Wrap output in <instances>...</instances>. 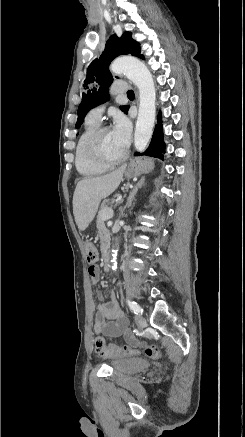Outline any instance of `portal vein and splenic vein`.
<instances>
[{
	"label": "portal vein and splenic vein",
	"instance_id": "18ae733b",
	"mask_svg": "<svg viewBox=\"0 0 245 437\" xmlns=\"http://www.w3.org/2000/svg\"><path fill=\"white\" fill-rule=\"evenodd\" d=\"M121 198H122V196H119V197L117 198V201H120ZM112 216H113V213H111L110 215H107L106 218L109 219V218L112 217Z\"/></svg>",
	"mask_w": 245,
	"mask_h": 437
}]
</instances>
